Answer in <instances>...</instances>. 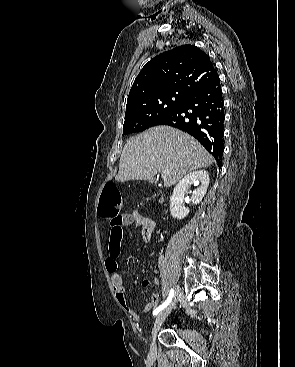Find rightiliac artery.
Returning <instances> with one entry per match:
<instances>
[{"mask_svg":"<svg viewBox=\"0 0 295 367\" xmlns=\"http://www.w3.org/2000/svg\"><path fill=\"white\" fill-rule=\"evenodd\" d=\"M159 262L161 263L162 262V257L159 258ZM174 297V290L173 288L170 290L169 292V296L168 298L165 300L164 303H162L159 307H157L154 311H153V315H156L158 314L161 310H163L173 299Z\"/></svg>","mask_w":295,"mask_h":367,"instance_id":"82829eb1","label":"right iliac artery"}]
</instances>
